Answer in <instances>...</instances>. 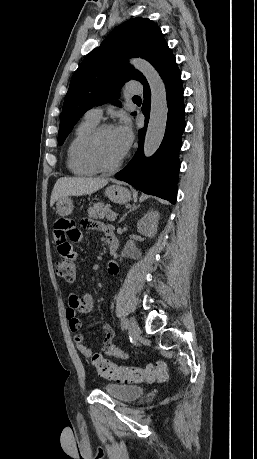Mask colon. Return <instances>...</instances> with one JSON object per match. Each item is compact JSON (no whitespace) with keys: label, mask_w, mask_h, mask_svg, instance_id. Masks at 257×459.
Instances as JSON below:
<instances>
[{"label":"colon","mask_w":257,"mask_h":459,"mask_svg":"<svg viewBox=\"0 0 257 459\" xmlns=\"http://www.w3.org/2000/svg\"><path fill=\"white\" fill-rule=\"evenodd\" d=\"M56 274L66 280L74 281L77 276L75 261L58 260L55 263ZM93 366L98 373L106 378L124 382H164L168 378L167 367L163 361L148 364L145 367H128L113 364L103 355L96 353L91 357Z\"/></svg>","instance_id":"1"}]
</instances>
